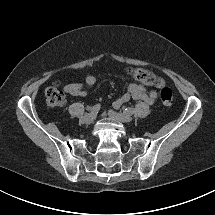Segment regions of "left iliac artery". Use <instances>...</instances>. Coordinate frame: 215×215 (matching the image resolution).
Listing matches in <instances>:
<instances>
[{"label":"left iliac artery","mask_w":215,"mask_h":215,"mask_svg":"<svg viewBox=\"0 0 215 215\" xmlns=\"http://www.w3.org/2000/svg\"><path fill=\"white\" fill-rule=\"evenodd\" d=\"M123 111L126 114H133L134 113V108L133 107H128V108H125Z\"/></svg>","instance_id":"1"}]
</instances>
